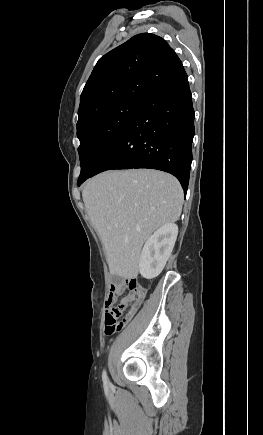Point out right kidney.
<instances>
[{"instance_id": "1", "label": "right kidney", "mask_w": 263, "mask_h": 435, "mask_svg": "<svg viewBox=\"0 0 263 435\" xmlns=\"http://www.w3.org/2000/svg\"><path fill=\"white\" fill-rule=\"evenodd\" d=\"M178 235V226L167 223L146 241L139 259V272L146 279L157 277L169 259Z\"/></svg>"}]
</instances>
